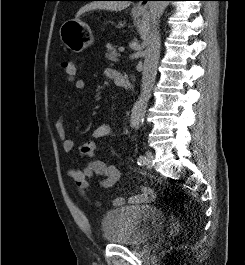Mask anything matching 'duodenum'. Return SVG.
<instances>
[{
    "label": "duodenum",
    "instance_id": "obj_1",
    "mask_svg": "<svg viewBox=\"0 0 245 265\" xmlns=\"http://www.w3.org/2000/svg\"><path fill=\"white\" fill-rule=\"evenodd\" d=\"M114 82L117 86H121L127 89L131 88V83L129 78L121 73L115 77Z\"/></svg>",
    "mask_w": 245,
    "mask_h": 265
}]
</instances>
